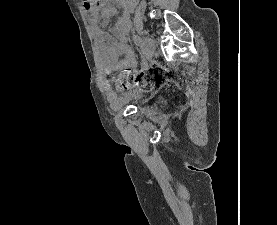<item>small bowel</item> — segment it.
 <instances>
[{"label": "small bowel", "instance_id": "c3829d8e", "mask_svg": "<svg viewBox=\"0 0 277 225\" xmlns=\"http://www.w3.org/2000/svg\"><path fill=\"white\" fill-rule=\"evenodd\" d=\"M114 5L123 8V16L118 18L114 26L106 33L104 28L108 25L110 17L115 12L114 5H106L98 12L97 7L86 3L85 8L91 13L90 28L95 36L97 47L101 53L104 72L107 79L104 82L105 94L110 103H118L124 93L122 84L115 91L110 85L108 77L115 70L123 67L136 68L137 60L133 50L126 43V34L130 28V15L136 0H111ZM123 56L122 61L118 58Z\"/></svg>", "mask_w": 277, "mask_h": 225}]
</instances>
